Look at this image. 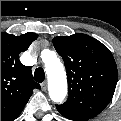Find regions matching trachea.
Returning a JSON list of instances; mask_svg holds the SVG:
<instances>
[{
	"label": "trachea",
	"mask_w": 121,
	"mask_h": 121,
	"mask_svg": "<svg viewBox=\"0 0 121 121\" xmlns=\"http://www.w3.org/2000/svg\"><path fill=\"white\" fill-rule=\"evenodd\" d=\"M45 79V72L42 68H37L34 72V80L36 82H43Z\"/></svg>",
	"instance_id": "3493384b"
}]
</instances>
